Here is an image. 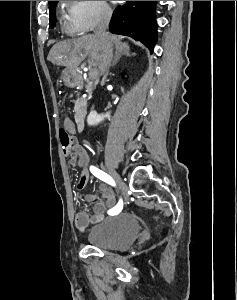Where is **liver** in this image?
I'll list each match as a JSON object with an SVG mask.
<instances>
[{
	"label": "liver",
	"mask_w": 237,
	"mask_h": 300,
	"mask_svg": "<svg viewBox=\"0 0 237 300\" xmlns=\"http://www.w3.org/2000/svg\"><path fill=\"white\" fill-rule=\"evenodd\" d=\"M103 41H105V45H102L101 39H98L95 35H83L78 39L61 41V43H56L50 49L47 61H50L53 65H61V67H67V69L74 71L89 55L88 63L90 67H99L102 75L111 65L113 59L112 47L116 45L119 49L118 53L124 51L123 47H128L127 43H121L118 35H110V33H107Z\"/></svg>",
	"instance_id": "obj_1"
}]
</instances>
